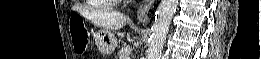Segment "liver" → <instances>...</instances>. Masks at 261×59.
<instances>
[{"label":"liver","instance_id":"liver-1","mask_svg":"<svg viewBox=\"0 0 261 59\" xmlns=\"http://www.w3.org/2000/svg\"><path fill=\"white\" fill-rule=\"evenodd\" d=\"M93 22L104 30H119L126 25L128 18L117 12H99L92 17Z\"/></svg>","mask_w":261,"mask_h":59}]
</instances>
